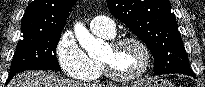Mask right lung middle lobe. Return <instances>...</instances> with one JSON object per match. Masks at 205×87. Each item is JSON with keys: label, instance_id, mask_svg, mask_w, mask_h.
<instances>
[{"label": "right lung middle lobe", "instance_id": "1", "mask_svg": "<svg viewBox=\"0 0 205 87\" xmlns=\"http://www.w3.org/2000/svg\"><path fill=\"white\" fill-rule=\"evenodd\" d=\"M61 32L24 34L14 53L9 76L23 70H60L55 53Z\"/></svg>", "mask_w": 205, "mask_h": 87}]
</instances>
